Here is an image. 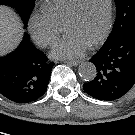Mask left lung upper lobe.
I'll return each mask as SVG.
<instances>
[{"mask_svg":"<svg viewBox=\"0 0 135 135\" xmlns=\"http://www.w3.org/2000/svg\"><path fill=\"white\" fill-rule=\"evenodd\" d=\"M116 20L108 40L124 36L135 27V0H115Z\"/></svg>","mask_w":135,"mask_h":135,"instance_id":"obj_1","label":"left lung upper lobe"}]
</instances>
